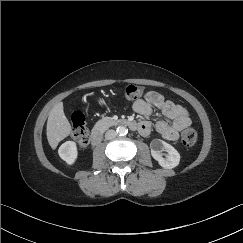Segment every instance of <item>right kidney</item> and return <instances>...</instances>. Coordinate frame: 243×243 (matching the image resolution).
Wrapping results in <instances>:
<instances>
[{
  "label": "right kidney",
  "instance_id": "ca27d5eb",
  "mask_svg": "<svg viewBox=\"0 0 243 243\" xmlns=\"http://www.w3.org/2000/svg\"><path fill=\"white\" fill-rule=\"evenodd\" d=\"M58 154L68 165H73L78 156L76 143L73 141L63 143L58 150Z\"/></svg>",
  "mask_w": 243,
  "mask_h": 243
}]
</instances>
